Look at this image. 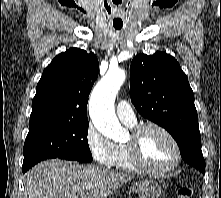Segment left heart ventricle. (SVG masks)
<instances>
[{
	"label": "left heart ventricle",
	"mask_w": 221,
	"mask_h": 198,
	"mask_svg": "<svg viewBox=\"0 0 221 198\" xmlns=\"http://www.w3.org/2000/svg\"><path fill=\"white\" fill-rule=\"evenodd\" d=\"M140 154L144 163L155 169L168 167L175 157L170 140L156 129H149L143 133L140 140Z\"/></svg>",
	"instance_id": "1"
}]
</instances>
